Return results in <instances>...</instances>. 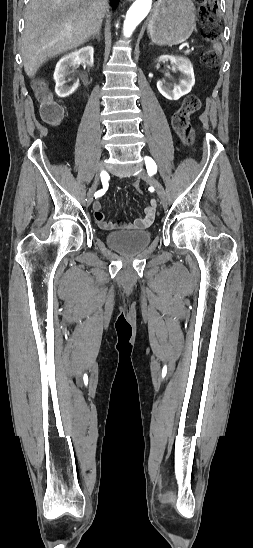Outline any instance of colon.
<instances>
[{
    "label": "colon",
    "instance_id": "obj_1",
    "mask_svg": "<svg viewBox=\"0 0 253 548\" xmlns=\"http://www.w3.org/2000/svg\"><path fill=\"white\" fill-rule=\"evenodd\" d=\"M199 4V15L205 25V38L214 41L217 38V0H197ZM202 63L207 68L216 67L218 56L215 51L210 50L202 57ZM36 94L40 103V112L42 118L50 123L60 121L62 109L60 104L54 99L52 93L46 85L39 81L36 84ZM200 108V100L195 95L187 96L180 108L174 113L172 123L176 132L181 136L186 144H191L194 138L193 129L190 123L191 116ZM135 188L142 193V186L139 182L135 183Z\"/></svg>",
    "mask_w": 253,
    "mask_h": 548
}]
</instances>
